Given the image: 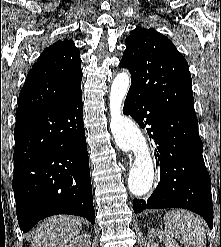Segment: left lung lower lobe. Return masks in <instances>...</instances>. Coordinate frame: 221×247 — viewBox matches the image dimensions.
I'll return each mask as SVG.
<instances>
[{
	"instance_id": "obj_1",
	"label": "left lung lower lobe",
	"mask_w": 221,
	"mask_h": 247,
	"mask_svg": "<svg viewBox=\"0 0 221 247\" xmlns=\"http://www.w3.org/2000/svg\"><path fill=\"white\" fill-rule=\"evenodd\" d=\"M123 113L147 130L160 166L158 186L147 201L134 199V212L184 208L201 215L212 228L211 180L202 156L197 118L141 99L130 90Z\"/></svg>"
}]
</instances>
